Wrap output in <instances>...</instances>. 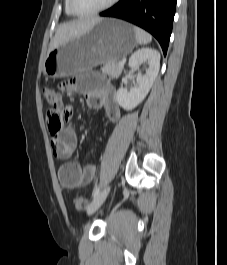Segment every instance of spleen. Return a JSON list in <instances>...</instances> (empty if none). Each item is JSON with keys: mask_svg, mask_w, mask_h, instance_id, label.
Here are the masks:
<instances>
[{"mask_svg": "<svg viewBox=\"0 0 227 265\" xmlns=\"http://www.w3.org/2000/svg\"><path fill=\"white\" fill-rule=\"evenodd\" d=\"M134 32H135L137 43L141 45H145L152 41L151 35L147 33L146 31H144L143 29L135 26Z\"/></svg>", "mask_w": 227, "mask_h": 265, "instance_id": "3e777b00", "label": "spleen"}]
</instances>
